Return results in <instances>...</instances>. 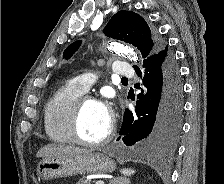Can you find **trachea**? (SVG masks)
Instances as JSON below:
<instances>
[{
    "instance_id": "obj_1",
    "label": "trachea",
    "mask_w": 224,
    "mask_h": 184,
    "mask_svg": "<svg viewBox=\"0 0 224 184\" xmlns=\"http://www.w3.org/2000/svg\"><path fill=\"white\" fill-rule=\"evenodd\" d=\"M121 80H122V81H128V79H127V78H122Z\"/></svg>"
}]
</instances>
